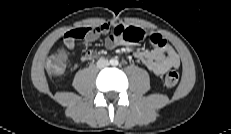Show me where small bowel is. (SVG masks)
Segmentation results:
<instances>
[{
  "mask_svg": "<svg viewBox=\"0 0 231 134\" xmlns=\"http://www.w3.org/2000/svg\"><path fill=\"white\" fill-rule=\"evenodd\" d=\"M110 31L111 34L105 40V46L108 49H114L122 45L136 44L144 37H147L154 46V49L138 50L134 53V57L141 61L155 75H163L168 70L180 66L179 55L162 35L155 32L145 33L141 28L125 26L118 21L68 31L63 37V42L67 49L73 50L76 39H83L86 43H91L100 35ZM97 54L95 50H87L82 54L81 60H91Z\"/></svg>",
  "mask_w": 231,
  "mask_h": 134,
  "instance_id": "small-bowel-1",
  "label": "small bowel"
}]
</instances>
